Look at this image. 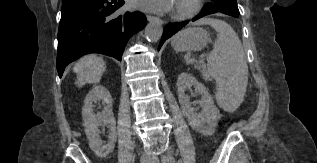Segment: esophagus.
<instances>
[{
  "instance_id": "obj_1",
  "label": "esophagus",
  "mask_w": 317,
  "mask_h": 163,
  "mask_svg": "<svg viewBox=\"0 0 317 163\" xmlns=\"http://www.w3.org/2000/svg\"><path fill=\"white\" fill-rule=\"evenodd\" d=\"M147 20L149 22H156V23H159L161 25L163 24V21L160 18L155 17V16L147 15Z\"/></svg>"
}]
</instances>
